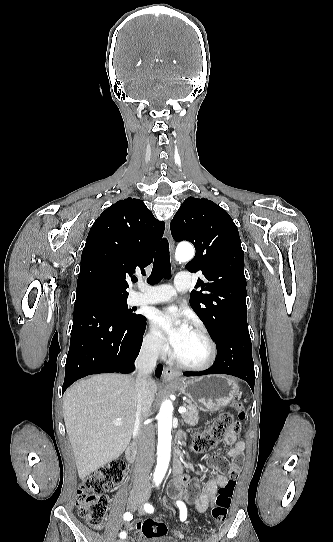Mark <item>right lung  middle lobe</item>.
Returning a JSON list of instances; mask_svg holds the SVG:
<instances>
[{"label":"right lung middle lobe","mask_w":333,"mask_h":542,"mask_svg":"<svg viewBox=\"0 0 333 542\" xmlns=\"http://www.w3.org/2000/svg\"><path fill=\"white\" fill-rule=\"evenodd\" d=\"M85 299H94L105 306L111 313L120 319H124L130 322H136L144 316L133 313V309H128L127 297H120L111 293H91L85 297Z\"/></svg>","instance_id":"1"}]
</instances>
